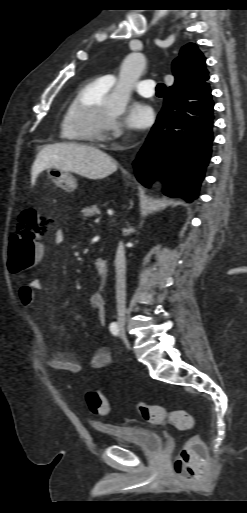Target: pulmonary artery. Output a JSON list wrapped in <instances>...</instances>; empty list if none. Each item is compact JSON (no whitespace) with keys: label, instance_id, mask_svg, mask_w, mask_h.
<instances>
[{"label":"pulmonary artery","instance_id":"pulmonary-artery-1","mask_svg":"<svg viewBox=\"0 0 247 513\" xmlns=\"http://www.w3.org/2000/svg\"><path fill=\"white\" fill-rule=\"evenodd\" d=\"M100 79L104 81L106 84L112 86L115 82V76L112 74L104 75ZM155 81L153 80H141L136 83L135 89L136 91L144 96L151 97L154 94Z\"/></svg>","mask_w":247,"mask_h":513}]
</instances>
